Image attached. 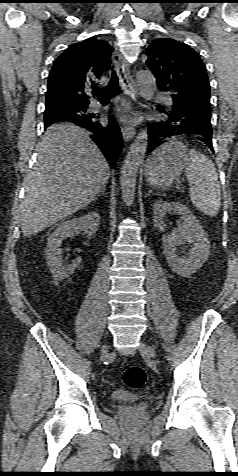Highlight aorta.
<instances>
[{
  "instance_id": "1",
  "label": "aorta",
  "mask_w": 238,
  "mask_h": 476,
  "mask_svg": "<svg viewBox=\"0 0 238 476\" xmlns=\"http://www.w3.org/2000/svg\"><path fill=\"white\" fill-rule=\"evenodd\" d=\"M140 95L146 101L152 99L156 91V79L149 71H139L136 75ZM148 146L147 128L142 129L132 143L124 160L121 171L120 183L122 200L127 206H131L135 199L136 176L139 166L142 164Z\"/></svg>"
}]
</instances>
